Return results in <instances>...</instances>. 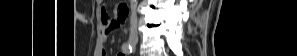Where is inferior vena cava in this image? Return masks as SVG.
Here are the masks:
<instances>
[{
  "mask_svg": "<svg viewBox=\"0 0 297 56\" xmlns=\"http://www.w3.org/2000/svg\"><path fill=\"white\" fill-rule=\"evenodd\" d=\"M136 7H137L136 0H133L131 3V16H130L131 31L133 32H136V28H137Z\"/></svg>",
  "mask_w": 297,
  "mask_h": 56,
  "instance_id": "obj_1",
  "label": "inferior vena cava"
}]
</instances>
